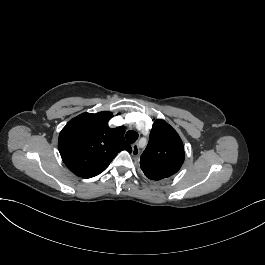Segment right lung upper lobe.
<instances>
[{
  "mask_svg": "<svg viewBox=\"0 0 265 265\" xmlns=\"http://www.w3.org/2000/svg\"><path fill=\"white\" fill-rule=\"evenodd\" d=\"M110 112L83 113L69 121L59 135L63 162L77 176L91 178L104 171L122 150L132 151L123 127L109 128Z\"/></svg>",
  "mask_w": 265,
  "mask_h": 265,
  "instance_id": "cb5924a9",
  "label": "right lung upper lobe"
}]
</instances>
